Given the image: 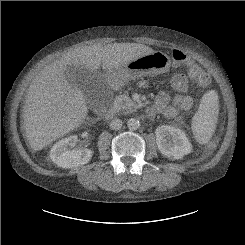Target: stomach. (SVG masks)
I'll return each instance as SVG.
<instances>
[{"label": "stomach", "mask_w": 245, "mask_h": 245, "mask_svg": "<svg viewBox=\"0 0 245 245\" xmlns=\"http://www.w3.org/2000/svg\"><path fill=\"white\" fill-rule=\"evenodd\" d=\"M170 57L161 52L141 56L127 65L107 71V80L115 87H121L134 80L147 75H157L165 73L170 69Z\"/></svg>", "instance_id": "stomach-1"}]
</instances>
